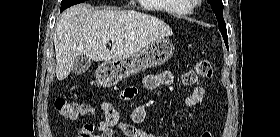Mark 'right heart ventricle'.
I'll list each match as a JSON object with an SVG mask.
<instances>
[{
	"mask_svg": "<svg viewBox=\"0 0 280 137\" xmlns=\"http://www.w3.org/2000/svg\"><path fill=\"white\" fill-rule=\"evenodd\" d=\"M148 1V0H147ZM163 3L164 10L175 17L186 15L190 12V8L183 0H149Z\"/></svg>",
	"mask_w": 280,
	"mask_h": 137,
	"instance_id": "obj_1",
	"label": "right heart ventricle"
}]
</instances>
